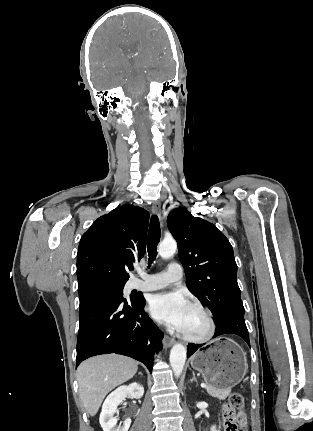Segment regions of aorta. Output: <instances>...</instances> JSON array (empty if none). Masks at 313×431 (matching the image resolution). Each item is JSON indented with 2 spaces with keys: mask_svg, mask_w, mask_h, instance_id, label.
Here are the masks:
<instances>
[{
  "mask_svg": "<svg viewBox=\"0 0 313 431\" xmlns=\"http://www.w3.org/2000/svg\"><path fill=\"white\" fill-rule=\"evenodd\" d=\"M177 250V243L173 239L163 240L158 248L159 255L168 259L172 257ZM186 348L180 343L175 344L170 351V365L176 377H179L183 371L186 361Z\"/></svg>",
  "mask_w": 313,
  "mask_h": 431,
  "instance_id": "obj_1",
  "label": "aorta"
}]
</instances>
